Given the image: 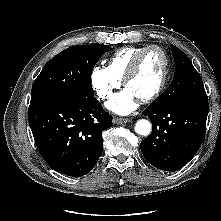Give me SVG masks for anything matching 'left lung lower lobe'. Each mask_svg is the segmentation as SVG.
Instances as JSON below:
<instances>
[{
	"label": "left lung lower lobe",
	"instance_id": "left-lung-lower-lobe-1",
	"mask_svg": "<svg viewBox=\"0 0 221 221\" xmlns=\"http://www.w3.org/2000/svg\"><path fill=\"white\" fill-rule=\"evenodd\" d=\"M152 133L141 144L146 160L156 168L174 172L196 154L205 137L208 101H180L149 107L143 112Z\"/></svg>",
	"mask_w": 221,
	"mask_h": 221
}]
</instances>
